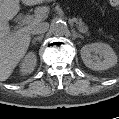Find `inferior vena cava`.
Listing matches in <instances>:
<instances>
[{
  "label": "inferior vena cava",
  "instance_id": "602c4592",
  "mask_svg": "<svg viewBox=\"0 0 119 119\" xmlns=\"http://www.w3.org/2000/svg\"><path fill=\"white\" fill-rule=\"evenodd\" d=\"M48 29H49V24L47 22H41L32 28L31 33L33 35L44 34L45 32L48 31Z\"/></svg>",
  "mask_w": 119,
  "mask_h": 119
}]
</instances>
